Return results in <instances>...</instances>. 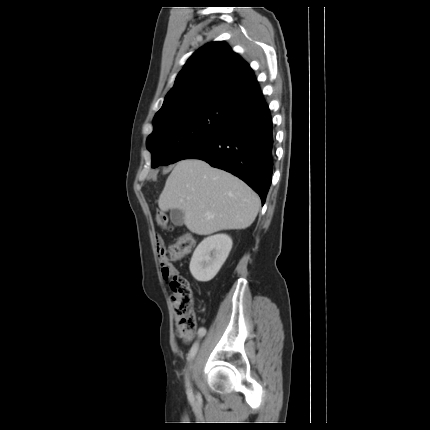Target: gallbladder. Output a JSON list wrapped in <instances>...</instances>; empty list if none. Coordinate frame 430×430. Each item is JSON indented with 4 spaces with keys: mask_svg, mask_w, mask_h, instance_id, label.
<instances>
[{
    "mask_svg": "<svg viewBox=\"0 0 430 430\" xmlns=\"http://www.w3.org/2000/svg\"><path fill=\"white\" fill-rule=\"evenodd\" d=\"M170 219L175 226H182L184 223V213L179 209H172L170 211Z\"/></svg>",
    "mask_w": 430,
    "mask_h": 430,
    "instance_id": "obj_1",
    "label": "gallbladder"
}]
</instances>
